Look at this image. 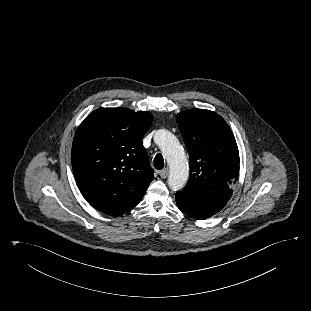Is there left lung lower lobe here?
<instances>
[{"mask_svg":"<svg viewBox=\"0 0 311 311\" xmlns=\"http://www.w3.org/2000/svg\"><path fill=\"white\" fill-rule=\"evenodd\" d=\"M179 209L189 217L206 219L218 213L227 202L216 200L191 189L184 188L176 193Z\"/></svg>","mask_w":311,"mask_h":311,"instance_id":"0a47b994","label":"left lung lower lobe"}]
</instances>
